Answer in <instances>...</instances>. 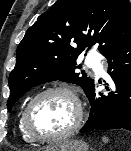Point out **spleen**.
I'll return each mask as SVG.
<instances>
[{
	"label": "spleen",
	"instance_id": "3e777b00",
	"mask_svg": "<svg viewBox=\"0 0 131 151\" xmlns=\"http://www.w3.org/2000/svg\"><path fill=\"white\" fill-rule=\"evenodd\" d=\"M103 142L107 143L109 141V139L107 137H103L102 138Z\"/></svg>",
	"mask_w": 131,
	"mask_h": 151
}]
</instances>
